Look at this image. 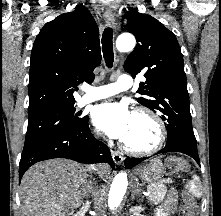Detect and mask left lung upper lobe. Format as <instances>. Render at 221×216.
Instances as JSON below:
<instances>
[{"label":"left lung upper lobe","mask_w":221,"mask_h":216,"mask_svg":"<svg viewBox=\"0 0 221 216\" xmlns=\"http://www.w3.org/2000/svg\"><path fill=\"white\" fill-rule=\"evenodd\" d=\"M125 28L135 35L136 48L128 55L124 69L135 77L142 74L138 93L142 105L160 114L168 131L167 143L178 141L197 145L192 128L189 93L183 56L175 35L150 15L129 9Z\"/></svg>","instance_id":"1"}]
</instances>
